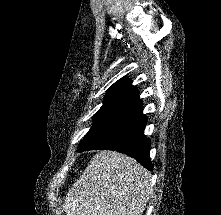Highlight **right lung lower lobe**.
I'll use <instances>...</instances> for the list:
<instances>
[{"label": "right lung lower lobe", "mask_w": 221, "mask_h": 215, "mask_svg": "<svg viewBox=\"0 0 221 215\" xmlns=\"http://www.w3.org/2000/svg\"><path fill=\"white\" fill-rule=\"evenodd\" d=\"M142 111L141 108L122 118L107 132L81 147L79 152L94 149L116 150L135 158L146 169L152 171L149 157L150 141L143 134L146 119Z\"/></svg>", "instance_id": "right-lung-lower-lobe-1"}]
</instances>
